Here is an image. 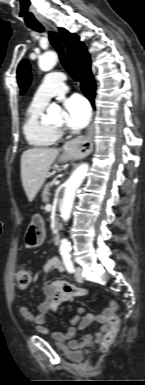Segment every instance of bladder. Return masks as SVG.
I'll list each match as a JSON object with an SVG mask.
<instances>
[{
	"label": "bladder",
	"instance_id": "1",
	"mask_svg": "<svg viewBox=\"0 0 145 385\" xmlns=\"http://www.w3.org/2000/svg\"><path fill=\"white\" fill-rule=\"evenodd\" d=\"M59 346H60V348L64 349V346H62V345H59ZM69 354H70V356H72L78 360H81L84 357V354L82 352H75V353H69Z\"/></svg>",
	"mask_w": 145,
	"mask_h": 385
}]
</instances>
